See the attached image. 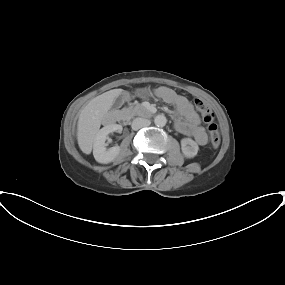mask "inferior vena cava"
Instances as JSON below:
<instances>
[{"instance_id":"inferior-vena-cava-1","label":"inferior vena cava","mask_w":285,"mask_h":285,"mask_svg":"<svg viewBox=\"0 0 285 285\" xmlns=\"http://www.w3.org/2000/svg\"><path fill=\"white\" fill-rule=\"evenodd\" d=\"M150 123H151L150 120L138 117V118H135L133 120L131 127H132L133 130H138V129L142 128V127L149 126Z\"/></svg>"}]
</instances>
